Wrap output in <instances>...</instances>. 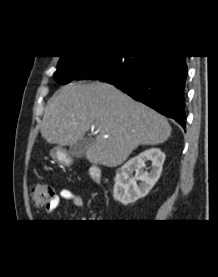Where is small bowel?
<instances>
[{
  "label": "small bowel",
  "instance_id": "small-bowel-1",
  "mask_svg": "<svg viewBox=\"0 0 218 277\" xmlns=\"http://www.w3.org/2000/svg\"><path fill=\"white\" fill-rule=\"evenodd\" d=\"M62 201L72 202L77 207L84 206V199L79 194L71 189H62L59 194L55 195L52 201L47 205V213H53L60 205Z\"/></svg>",
  "mask_w": 218,
  "mask_h": 277
}]
</instances>
